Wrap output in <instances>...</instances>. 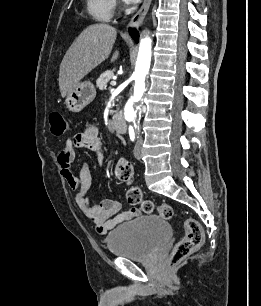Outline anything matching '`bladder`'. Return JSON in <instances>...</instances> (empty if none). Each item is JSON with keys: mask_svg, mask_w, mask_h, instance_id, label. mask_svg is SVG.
Instances as JSON below:
<instances>
[{"mask_svg": "<svg viewBox=\"0 0 261 306\" xmlns=\"http://www.w3.org/2000/svg\"><path fill=\"white\" fill-rule=\"evenodd\" d=\"M169 223L159 215H143L113 229L106 237L108 250L133 261L151 259L170 239Z\"/></svg>", "mask_w": 261, "mask_h": 306, "instance_id": "1", "label": "bladder"}]
</instances>
